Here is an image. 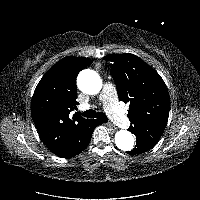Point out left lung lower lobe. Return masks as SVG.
Listing matches in <instances>:
<instances>
[{"instance_id": "obj_1", "label": "left lung lower lobe", "mask_w": 200, "mask_h": 200, "mask_svg": "<svg viewBox=\"0 0 200 200\" xmlns=\"http://www.w3.org/2000/svg\"><path fill=\"white\" fill-rule=\"evenodd\" d=\"M154 145H155V143H153L147 139L137 138L135 148L127 153H129L130 155L142 154V153L149 151Z\"/></svg>"}]
</instances>
